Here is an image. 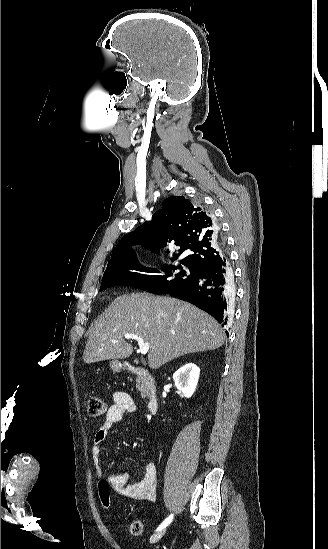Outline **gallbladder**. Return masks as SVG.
<instances>
[{
  "label": "gallbladder",
  "instance_id": "obj_1",
  "mask_svg": "<svg viewBox=\"0 0 328 549\" xmlns=\"http://www.w3.org/2000/svg\"><path fill=\"white\" fill-rule=\"evenodd\" d=\"M134 363H135V365H138V361H137V359H135Z\"/></svg>",
  "mask_w": 328,
  "mask_h": 549
}]
</instances>
